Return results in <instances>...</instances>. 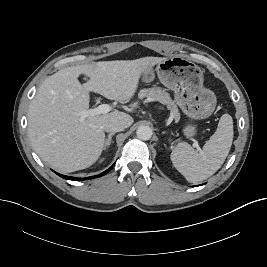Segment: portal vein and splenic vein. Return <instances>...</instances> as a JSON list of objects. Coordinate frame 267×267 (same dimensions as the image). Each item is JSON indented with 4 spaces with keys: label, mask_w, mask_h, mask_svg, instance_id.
Returning <instances> with one entry per match:
<instances>
[{
    "label": "portal vein and splenic vein",
    "mask_w": 267,
    "mask_h": 267,
    "mask_svg": "<svg viewBox=\"0 0 267 267\" xmlns=\"http://www.w3.org/2000/svg\"><path fill=\"white\" fill-rule=\"evenodd\" d=\"M111 110V106L108 105V104H101L99 105L97 108L95 109H90V110H87V111H83L81 113V117L82 118H86L88 116H94V115H98V114H106L108 113L109 111ZM195 148L200 151V147L198 145L197 142H195L194 144Z\"/></svg>",
    "instance_id": "portal-vein-and-splenic-vein-1"
}]
</instances>
